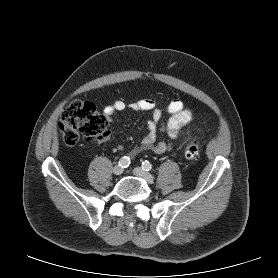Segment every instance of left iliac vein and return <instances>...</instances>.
Instances as JSON below:
<instances>
[{
    "label": "left iliac vein",
    "mask_w": 278,
    "mask_h": 278,
    "mask_svg": "<svg viewBox=\"0 0 278 278\" xmlns=\"http://www.w3.org/2000/svg\"><path fill=\"white\" fill-rule=\"evenodd\" d=\"M133 173H134V175L145 179L148 183H153V181H154L153 176L150 173L146 172L141 167H135L133 169Z\"/></svg>",
    "instance_id": "obj_1"
}]
</instances>
